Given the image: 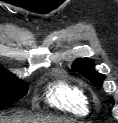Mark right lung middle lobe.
Masks as SVG:
<instances>
[{
    "label": "right lung middle lobe",
    "instance_id": "right-lung-middle-lobe-1",
    "mask_svg": "<svg viewBox=\"0 0 118 123\" xmlns=\"http://www.w3.org/2000/svg\"><path fill=\"white\" fill-rule=\"evenodd\" d=\"M27 92V84L0 67V108L16 103Z\"/></svg>",
    "mask_w": 118,
    "mask_h": 123
}]
</instances>
